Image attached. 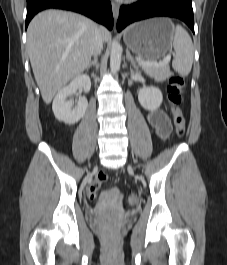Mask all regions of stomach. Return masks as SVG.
Masks as SVG:
<instances>
[{"instance_id": "0dacf381", "label": "stomach", "mask_w": 227, "mask_h": 265, "mask_svg": "<svg viewBox=\"0 0 227 265\" xmlns=\"http://www.w3.org/2000/svg\"><path fill=\"white\" fill-rule=\"evenodd\" d=\"M174 33L168 18H153L130 25L124 32V41L130 50L150 61L169 51Z\"/></svg>"}]
</instances>
